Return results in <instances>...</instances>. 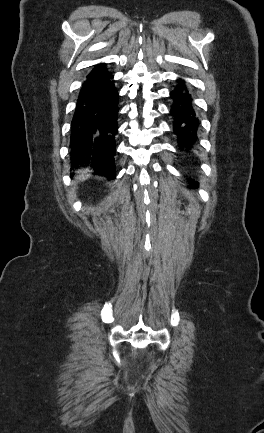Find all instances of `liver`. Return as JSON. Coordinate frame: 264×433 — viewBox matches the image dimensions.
Listing matches in <instances>:
<instances>
[{"mask_svg":"<svg viewBox=\"0 0 264 433\" xmlns=\"http://www.w3.org/2000/svg\"><path fill=\"white\" fill-rule=\"evenodd\" d=\"M88 170H84V171H80L79 173H81L79 176H77V179L80 180H85L86 178H88V174H87Z\"/></svg>","mask_w":264,"mask_h":433,"instance_id":"1","label":"liver"}]
</instances>
